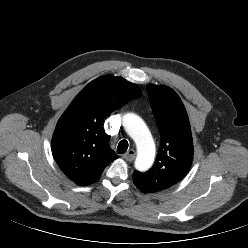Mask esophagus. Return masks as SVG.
Instances as JSON below:
<instances>
[{
  "instance_id": "1",
  "label": "esophagus",
  "mask_w": 248,
  "mask_h": 248,
  "mask_svg": "<svg viewBox=\"0 0 248 248\" xmlns=\"http://www.w3.org/2000/svg\"><path fill=\"white\" fill-rule=\"evenodd\" d=\"M135 156H136L135 151L133 149H130L129 151H127V153L123 155V158L127 161H132L134 160Z\"/></svg>"
}]
</instances>
